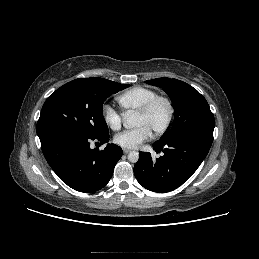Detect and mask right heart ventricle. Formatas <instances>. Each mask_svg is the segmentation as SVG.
Returning a JSON list of instances; mask_svg holds the SVG:
<instances>
[{
    "mask_svg": "<svg viewBox=\"0 0 259 259\" xmlns=\"http://www.w3.org/2000/svg\"><path fill=\"white\" fill-rule=\"evenodd\" d=\"M158 93L147 87L136 86L117 96V101L125 112L138 111Z\"/></svg>",
    "mask_w": 259,
    "mask_h": 259,
    "instance_id": "1",
    "label": "right heart ventricle"
}]
</instances>
